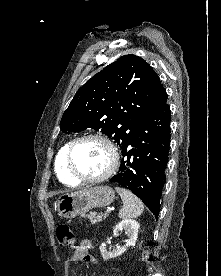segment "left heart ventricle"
<instances>
[{
  "mask_svg": "<svg viewBox=\"0 0 221 276\" xmlns=\"http://www.w3.org/2000/svg\"><path fill=\"white\" fill-rule=\"evenodd\" d=\"M110 152L107 146L95 139L77 144L73 151V165L76 171L86 177H96L109 166Z\"/></svg>",
  "mask_w": 221,
  "mask_h": 276,
  "instance_id": "left-heart-ventricle-1",
  "label": "left heart ventricle"
}]
</instances>
